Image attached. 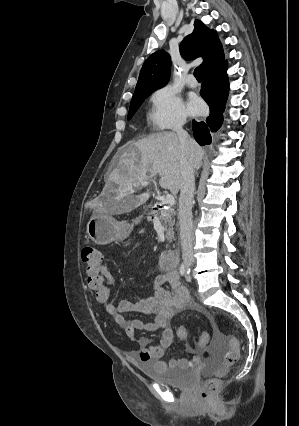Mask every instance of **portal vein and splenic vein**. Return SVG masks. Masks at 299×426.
<instances>
[{
  "instance_id": "portal-vein-and-splenic-vein-1",
  "label": "portal vein and splenic vein",
  "mask_w": 299,
  "mask_h": 426,
  "mask_svg": "<svg viewBox=\"0 0 299 426\" xmlns=\"http://www.w3.org/2000/svg\"><path fill=\"white\" fill-rule=\"evenodd\" d=\"M149 184H150L149 181H144V182L141 183L142 186H147ZM174 202H175V199H174L173 195L166 194L163 204L166 205L167 207H170L174 204Z\"/></svg>"
}]
</instances>
